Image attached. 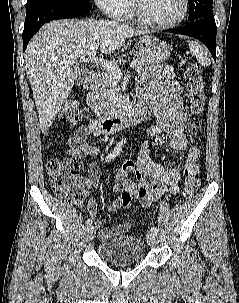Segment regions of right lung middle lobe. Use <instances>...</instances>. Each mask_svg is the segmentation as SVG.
<instances>
[{
  "label": "right lung middle lobe",
  "mask_w": 239,
  "mask_h": 303,
  "mask_svg": "<svg viewBox=\"0 0 239 303\" xmlns=\"http://www.w3.org/2000/svg\"><path fill=\"white\" fill-rule=\"evenodd\" d=\"M48 2H56V3H79L85 2L90 3V0H27L26 9L40 3H48Z\"/></svg>",
  "instance_id": "right-lung-middle-lobe-1"
}]
</instances>
